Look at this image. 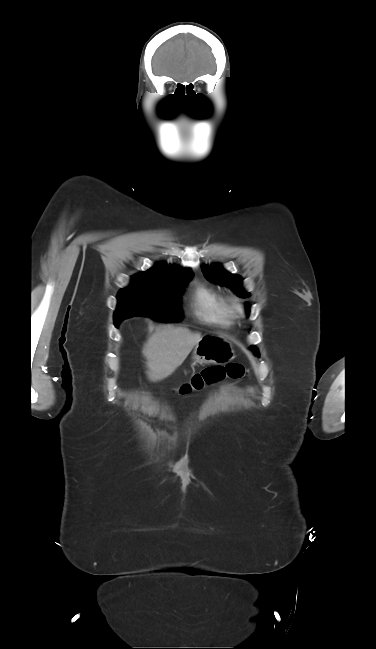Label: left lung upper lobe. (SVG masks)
I'll return each mask as SVG.
<instances>
[{
	"mask_svg": "<svg viewBox=\"0 0 376 649\" xmlns=\"http://www.w3.org/2000/svg\"><path fill=\"white\" fill-rule=\"evenodd\" d=\"M202 271L204 273V276L211 282L224 285L230 288L240 297L246 298L249 296V293H246L242 289L241 278L239 276L227 272L219 265L213 264L210 265V267L203 266Z\"/></svg>",
	"mask_w": 376,
	"mask_h": 649,
	"instance_id": "1",
	"label": "left lung upper lobe"
}]
</instances>
